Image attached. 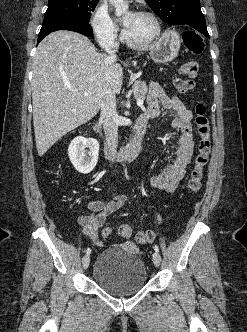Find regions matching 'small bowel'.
<instances>
[{
  "instance_id": "small-bowel-1",
  "label": "small bowel",
  "mask_w": 247,
  "mask_h": 332,
  "mask_svg": "<svg viewBox=\"0 0 247 332\" xmlns=\"http://www.w3.org/2000/svg\"><path fill=\"white\" fill-rule=\"evenodd\" d=\"M175 113L174 126L181 132L175 159L160 174L150 178L151 186L168 193H173L185 176L187 166L191 161L194 148L193 130L191 126L192 113L177 97L169 96L158 84H152L148 96V106L142 114L149 118L161 115L162 110ZM125 197L114 195L108 202L100 200L88 203L92 212L78 218L82 232L95 244H99V229L103 226L107 216L117 210L124 203Z\"/></svg>"
}]
</instances>
